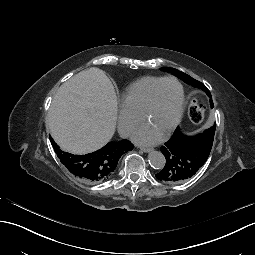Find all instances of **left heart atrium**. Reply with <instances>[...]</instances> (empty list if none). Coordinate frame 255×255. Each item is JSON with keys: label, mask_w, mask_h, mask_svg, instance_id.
<instances>
[{"label": "left heart atrium", "mask_w": 255, "mask_h": 255, "mask_svg": "<svg viewBox=\"0 0 255 255\" xmlns=\"http://www.w3.org/2000/svg\"><path fill=\"white\" fill-rule=\"evenodd\" d=\"M160 137V135L145 127L140 128L135 134L136 141L140 143H156L160 140Z\"/></svg>", "instance_id": "39dd6f15"}]
</instances>
